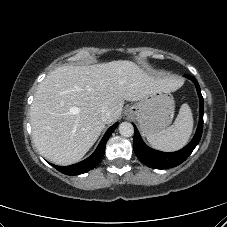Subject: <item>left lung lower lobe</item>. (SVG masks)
<instances>
[{"mask_svg": "<svg viewBox=\"0 0 227 227\" xmlns=\"http://www.w3.org/2000/svg\"><path fill=\"white\" fill-rule=\"evenodd\" d=\"M188 79H190L196 86L197 93L199 96L200 101V108H199V124L195 136L193 137L192 141L186 145L183 149L177 152H161L154 150L148 147L142 140L137 128L134 126V152L138 159L144 163L146 166L154 168V169H166L170 167H176L182 162H184L189 155L192 153L194 148L197 146L201 139L202 131H203V114H204V101L201 94L200 86L197 80L190 76L186 75Z\"/></svg>", "mask_w": 227, "mask_h": 227, "instance_id": "left-lung-lower-lobe-1", "label": "left lung lower lobe"}]
</instances>
